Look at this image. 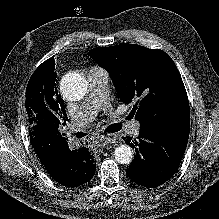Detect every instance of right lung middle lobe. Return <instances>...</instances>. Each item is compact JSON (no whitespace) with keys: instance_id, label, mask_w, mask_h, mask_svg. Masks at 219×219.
Instances as JSON below:
<instances>
[{"instance_id":"dd1d6c3e","label":"right lung middle lobe","mask_w":219,"mask_h":219,"mask_svg":"<svg viewBox=\"0 0 219 219\" xmlns=\"http://www.w3.org/2000/svg\"><path fill=\"white\" fill-rule=\"evenodd\" d=\"M49 70H55L54 64L53 67L42 66L37 68L28 82L25 101L28 126L30 132L49 129L61 134L60 129L66 124L68 117L64 102L44 82ZM34 74L35 76H33Z\"/></svg>"}]
</instances>
